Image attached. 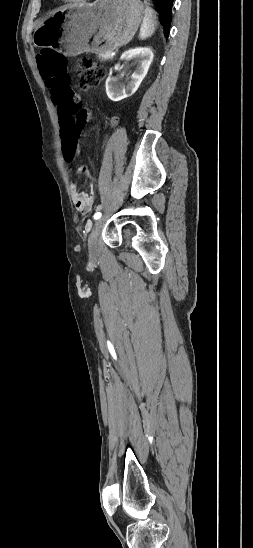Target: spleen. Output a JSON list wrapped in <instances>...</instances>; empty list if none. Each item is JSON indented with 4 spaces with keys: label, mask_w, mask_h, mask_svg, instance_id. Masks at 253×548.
<instances>
[{
    "label": "spleen",
    "mask_w": 253,
    "mask_h": 548,
    "mask_svg": "<svg viewBox=\"0 0 253 548\" xmlns=\"http://www.w3.org/2000/svg\"><path fill=\"white\" fill-rule=\"evenodd\" d=\"M157 24L156 12L149 6L145 7L144 18L140 28V38L146 39L153 35Z\"/></svg>",
    "instance_id": "3e777b00"
}]
</instances>
